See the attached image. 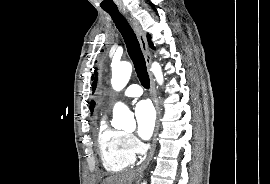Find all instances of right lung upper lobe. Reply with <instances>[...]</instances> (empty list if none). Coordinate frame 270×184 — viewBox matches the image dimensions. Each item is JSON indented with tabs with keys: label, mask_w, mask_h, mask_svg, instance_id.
Here are the masks:
<instances>
[{
	"label": "right lung upper lobe",
	"mask_w": 270,
	"mask_h": 184,
	"mask_svg": "<svg viewBox=\"0 0 270 184\" xmlns=\"http://www.w3.org/2000/svg\"><path fill=\"white\" fill-rule=\"evenodd\" d=\"M94 105H95V102L92 101V102H91V105H90L91 112L93 111Z\"/></svg>",
	"instance_id": "cb5924a9"
}]
</instances>
